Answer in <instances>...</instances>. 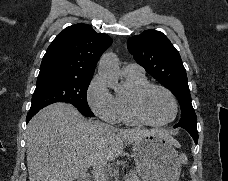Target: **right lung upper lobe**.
<instances>
[{
    "label": "right lung upper lobe",
    "instance_id": "1",
    "mask_svg": "<svg viewBox=\"0 0 228 181\" xmlns=\"http://www.w3.org/2000/svg\"><path fill=\"white\" fill-rule=\"evenodd\" d=\"M111 43L107 34L95 32L90 25L69 26L48 47L38 77L92 79L100 56Z\"/></svg>",
    "mask_w": 228,
    "mask_h": 181
}]
</instances>
